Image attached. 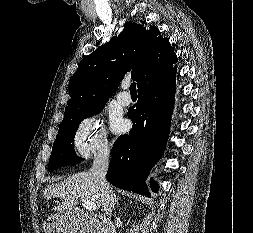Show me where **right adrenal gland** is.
<instances>
[{
    "label": "right adrenal gland",
    "instance_id": "1",
    "mask_svg": "<svg viewBox=\"0 0 253 233\" xmlns=\"http://www.w3.org/2000/svg\"><path fill=\"white\" fill-rule=\"evenodd\" d=\"M118 200H119V198H117V196H116V195H114V200H113L112 209H114V208H115V205H118Z\"/></svg>",
    "mask_w": 253,
    "mask_h": 233
}]
</instances>
